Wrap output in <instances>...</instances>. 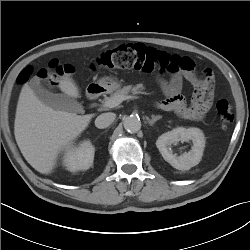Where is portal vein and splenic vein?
I'll use <instances>...</instances> for the list:
<instances>
[{"mask_svg":"<svg viewBox=\"0 0 250 250\" xmlns=\"http://www.w3.org/2000/svg\"><path fill=\"white\" fill-rule=\"evenodd\" d=\"M134 98H135L134 96L129 95V96H120L113 99H109L104 102L103 107L114 108L117 107L119 104H121L124 100L134 99Z\"/></svg>","mask_w":250,"mask_h":250,"instance_id":"portal-vein-and-splenic-vein-1","label":"portal vein and splenic vein"}]
</instances>
